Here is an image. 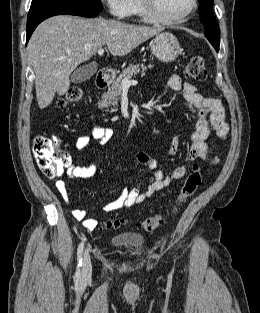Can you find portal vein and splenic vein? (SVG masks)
Wrapping results in <instances>:
<instances>
[{
    "label": "portal vein and splenic vein",
    "mask_w": 260,
    "mask_h": 313,
    "mask_svg": "<svg viewBox=\"0 0 260 313\" xmlns=\"http://www.w3.org/2000/svg\"><path fill=\"white\" fill-rule=\"evenodd\" d=\"M104 54V49L100 48L98 49V55H103ZM138 82L135 80H123L122 81V88H129L131 85H136Z\"/></svg>",
    "instance_id": "obj_1"
}]
</instances>
